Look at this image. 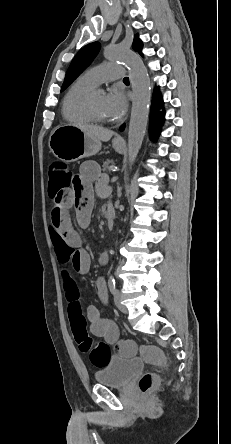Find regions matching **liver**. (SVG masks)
Returning <instances> with one entry per match:
<instances>
[{
  "label": "liver",
  "instance_id": "liver-1",
  "mask_svg": "<svg viewBox=\"0 0 231 444\" xmlns=\"http://www.w3.org/2000/svg\"><path fill=\"white\" fill-rule=\"evenodd\" d=\"M80 128L86 134L93 136L99 141L107 142L113 136L114 132L102 127L87 125V124H77L74 125Z\"/></svg>",
  "mask_w": 231,
  "mask_h": 444
}]
</instances>
